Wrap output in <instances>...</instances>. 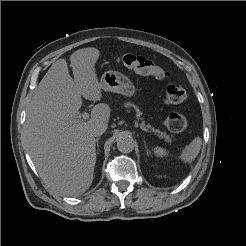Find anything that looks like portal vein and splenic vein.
Instances as JSON below:
<instances>
[{
  "label": "portal vein and splenic vein",
  "mask_w": 246,
  "mask_h": 246,
  "mask_svg": "<svg viewBox=\"0 0 246 246\" xmlns=\"http://www.w3.org/2000/svg\"><path fill=\"white\" fill-rule=\"evenodd\" d=\"M78 118H82V120H87L89 118V114L84 111L81 115L78 116ZM139 127L145 132H153L152 128L145 127L144 125H139Z\"/></svg>",
  "instance_id": "18ae733b"
}]
</instances>
